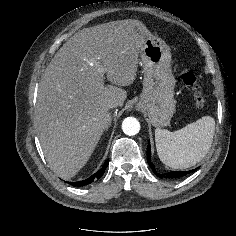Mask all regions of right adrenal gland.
<instances>
[{
    "mask_svg": "<svg viewBox=\"0 0 236 236\" xmlns=\"http://www.w3.org/2000/svg\"><path fill=\"white\" fill-rule=\"evenodd\" d=\"M109 126H110V124L106 127L105 131H108Z\"/></svg>",
    "mask_w": 236,
    "mask_h": 236,
    "instance_id": "2a0ac1e0",
    "label": "right adrenal gland"
}]
</instances>
